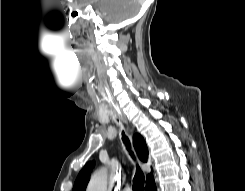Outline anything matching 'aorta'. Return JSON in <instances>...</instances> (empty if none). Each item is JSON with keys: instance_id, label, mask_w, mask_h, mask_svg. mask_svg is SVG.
Returning <instances> with one entry per match:
<instances>
[{"instance_id": "762f6f07", "label": "aorta", "mask_w": 245, "mask_h": 191, "mask_svg": "<svg viewBox=\"0 0 245 191\" xmlns=\"http://www.w3.org/2000/svg\"><path fill=\"white\" fill-rule=\"evenodd\" d=\"M87 191H107V169L103 168L92 176Z\"/></svg>"}]
</instances>
